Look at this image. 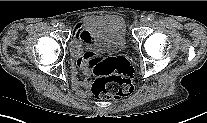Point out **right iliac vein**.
Segmentation results:
<instances>
[{
    "label": "right iliac vein",
    "mask_w": 207,
    "mask_h": 123,
    "mask_svg": "<svg viewBox=\"0 0 207 123\" xmlns=\"http://www.w3.org/2000/svg\"><path fill=\"white\" fill-rule=\"evenodd\" d=\"M58 28L61 29V30L64 29L65 28V24L64 23H59Z\"/></svg>",
    "instance_id": "obj_1"
}]
</instances>
